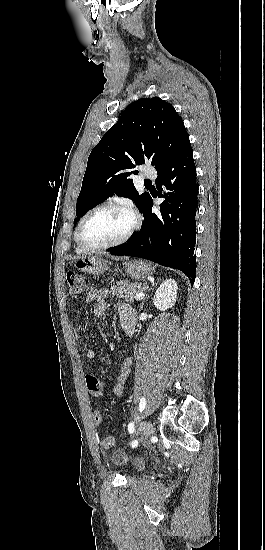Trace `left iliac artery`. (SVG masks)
<instances>
[{
    "instance_id": "44dca946",
    "label": "left iliac artery",
    "mask_w": 265,
    "mask_h": 550,
    "mask_svg": "<svg viewBox=\"0 0 265 550\" xmlns=\"http://www.w3.org/2000/svg\"><path fill=\"white\" fill-rule=\"evenodd\" d=\"M145 407H146V399H145L144 397H142V398L140 399L139 411L142 412V411L145 409ZM128 431H129V433H133V432H134V424H133V423H130V424L128 425ZM137 445H138V441H137V440L132 441L131 447L134 448V447H137Z\"/></svg>"
}]
</instances>
